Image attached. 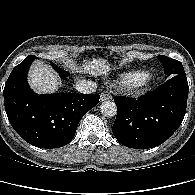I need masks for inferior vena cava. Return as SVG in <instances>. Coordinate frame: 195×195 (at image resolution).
<instances>
[{"label": "inferior vena cava", "mask_w": 195, "mask_h": 195, "mask_svg": "<svg viewBox=\"0 0 195 195\" xmlns=\"http://www.w3.org/2000/svg\"><path fill=\"white\" fill-rule=\"evenodd\" d=\"M75 88L80 93L88 94L96 91L97 84L92 81H81L76 84Z\"/></svg>", "instance_id": "inferior-vena-cava-1"}]
</instances>
